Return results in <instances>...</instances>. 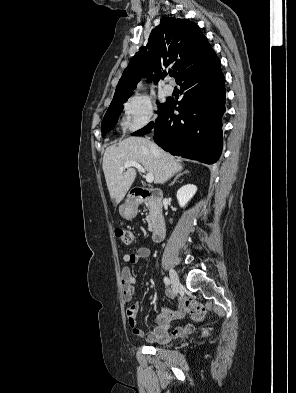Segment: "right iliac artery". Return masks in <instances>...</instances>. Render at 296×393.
I'll return each mask as SVG.
<instances>
[{
  "instance_id": "right-iliac-artery-1",
  "label": "right iliac artery",
  "mask_w": 296,
  "mask_h": 393,
  "mask_svg": "<svg viewBox=\"0 0 296 393\" xmlns=\"http://www.w3.org/2000/svg\"><path fill=\"white\" fill-rule=\"evenodd\" d=\"M164 283L166 285H170V279L168 277H164Z\"/></svg>"
}]
</instances>
